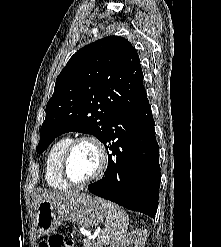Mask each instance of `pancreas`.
<instances>
[{"instance_id":"pancreas-1","label":"pancreas","mask_w":221,"mask_h":247,"mask_svg":"<svg viewBox=\"0 0 221 247\" xmlns=\"http://www.w3.org/2000/svg\"><path fill=\"white\" fill-rule=\"evenodd\" d=\"M84 247H101L98 242L91 240L89 238L84 239Z\"/></svg>"}]
</instances>
